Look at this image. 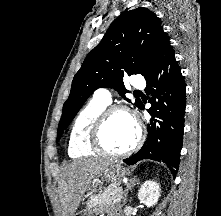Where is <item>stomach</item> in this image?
<instances>
[{
	"label": "stomach",
	"instance_id": "obj_1",
	"mask_svg": "<svg viewBox=\"0 0 221 216\" xmlns=\"http://www.w3.org/2000/svg\"><path fill=\"white\" fill-rule=\"evenodd\" d=\"M129 174V170L122 166L121 163H113L103 173V178L111 183H118L121 181L123 177ZM98 179L93 182L92 186L89 188L90 192L88 193L90 196L93 195L94 192L97 190ZM92 198V197H91ZM91 207V206H89ZM95 214L94 211L90 210V208L86 211H81L77 213L75 216H93Z\"/></svg>",
	"mask_w": 221,
	"mask_h": 216
}]
</instances>
